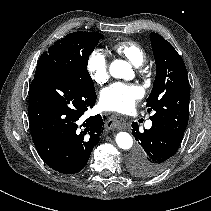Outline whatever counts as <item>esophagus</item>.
<instances>
[{"instance_id": "esophagus-1", "label": "esophagus", "mask_w": 211, "mask_h": 211, "mask_svg": "<svg viewBox=\"0 0 211 211\" xmlns=\"http://www.w3.org/2000/svg\"><path fill=\"white\" fill-rule=\"evenodd\" d=\"M125 126H126V122L124 118L120 116L119 114L112 115L106 123V127L109 130H116V129L120 130V129H123Z\"/></svg>"}]
</instances>
